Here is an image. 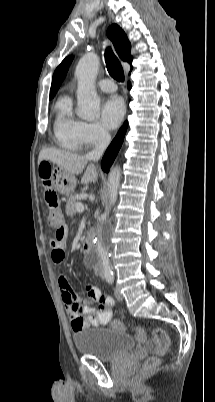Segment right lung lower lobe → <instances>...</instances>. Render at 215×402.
<instances>
[{
    "label": "right lung lower lobe",
    "mask_w": 215,
    "mask_h": 402,
    "mask_svg": "<svg viewBox=\"0 0 215 402\" xmlns=\"http://www.w3.org/2000/svg\"><path fill=\"white\" fill-rule=\"evenodd\" d=\"M130 87H131V85L129 83L128 88H130ZM126 130H127V122H125L124 125L120 128L118 134L116 135V137L114 138V140L112 141V143L110 144L108 149L106 150V153L102 159V165H101L102 169L105 172H108L109 167L112 165L115 157L117 156V153L123 143Z\"/></svg>",
    "instance_id": "1"
}]
</instances>
